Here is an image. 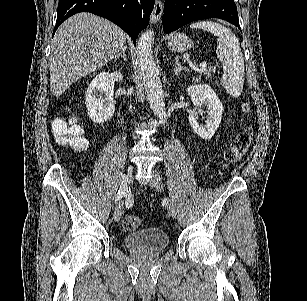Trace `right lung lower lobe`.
<instances>
[{"label":"right lung lower lobe","instance_id":"right-lung-lower-lobe-1","mask_svg":"<svg viewBox=\"0 0 307 301\" xmlns=\"http://www.w3.org/2000/svg\"><path fill=\"white\" fill-rule=\"evenodd\" d=\"M154 3L155 0H59L54 33L73 14L90 12L117 24L136 44L139 32L149 24Z\"/></svg>","mask_w":307,"mask_h":301}]
</instances>
